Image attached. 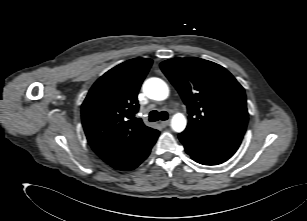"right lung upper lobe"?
Returning a JSON list of instances; mask_svg holds the SVG:
<instances>
[{"label":"right lung upper lobe","instance_id":"1","mask_svg":"<svg viewBox=\"0 0 307 221\" xmlns=\"http://www.w3.org/2000/svg\"><path fill=\"white\" fill-rule=\"evenodd\" d=\"M152 64L136 58L101 76L82 104V124L93 151L113 166L138 150L157 131L137 119V94Z\"/></svg>","mask_w":307,"mask_h":221}]
</instances>
